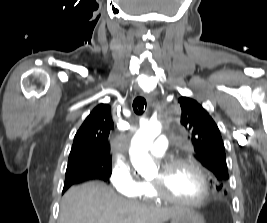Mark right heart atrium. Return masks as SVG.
<instances>
[{
	"mask_svg": "<svg viewBox=\"0 0 267 223\" xmlns=\"http://www.w3.org/2000/svg\"><path fill=\"white\" fill-rule=\"evenodd\" d=\"M110 182L117 193L128 196H137L142 184L127 162H117L113 166Z\"/></svg>",
	"mask_w": 267,
	"mask_h": 223,
	"instance_id": "d8ad5b80",
	"label": "right heart atrium"
}]
</instances>
